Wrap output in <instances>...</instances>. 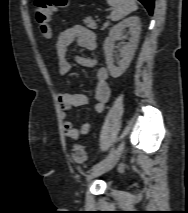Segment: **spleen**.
<instances>
[{
  "label": "spleen",
  "instance_id": "obj_1",
  "mask_svg": "<svg viewBox=\"0 0 188 213\" xmlns=\"http://www.w3.org/2000/svg\"><path fill=\"white\" fill-rule=\"evenodd\" d=\"M107 3L114 8L110 15L113 21L124 18L138 8L136 0H107Z\"/></svg>",
  "mask_w": 188,
  "mask_h": 213
}]
</instances>
